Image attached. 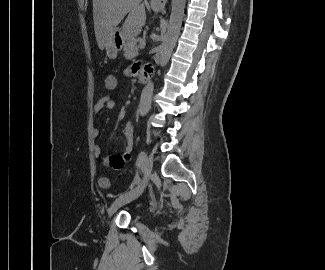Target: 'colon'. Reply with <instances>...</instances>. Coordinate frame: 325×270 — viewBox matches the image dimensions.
<instances>
[{
    "label": "colon",
    "instance_id": "colon-1",
    "mask_svg": "<svg viewBox=\"0 0 325 270\" xmlns=\"http://www.w3.org/2000/svg\"><path fill=\"white\" fill-rule=\"evenodd\" d=\"M118 86V80L116 78L115 75L113 74H108L106 75L105 79H104V88L109 91L112 92L114 90H116ZM99 186L101 188H108L109 187V179L105 176H102L99 178Z\"/></svg>",
    "mask_w": 325,
    "mask_h": 270
}]
</instances>
